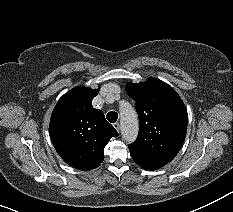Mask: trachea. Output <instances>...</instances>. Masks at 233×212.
I'll use <instances>...</instances> for the list:
<instances>
[{
    "instance_id": "obj_1",
    "label": "trachea",
    "mask_w": 233,
    "mask_h": 212,
    "mask_svg": "<svg viewBox=\"0 0 233 212\" xmlns=\"http://www.w3.org/2000/svg\"><path fill=\"white\" fill-rule=\"evenodd\" d=\"M106 118L109 122L114 123L118 119V114L115 111H110L107 113Z\"/></svg>"
}]
</instances>
